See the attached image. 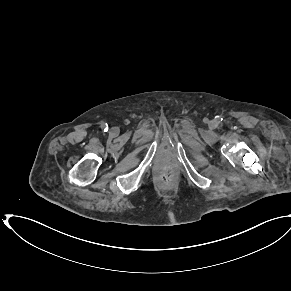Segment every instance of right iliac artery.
<instances>
[{"label": "right iliac artery", "mask_w": 291, "mask_h": 291, "mask_svg": "<svg viewBox=\"0 0 291 291\" xmlns=\"http://www.w3.org/2000/svg\"><path fill=\"white\" fill-rule=\"evenodd\" d=\"M102 129H104V131H107L108 130V126H107V123H103L101 125Z\"/></svg>", "instance_id": "1"}]
</instances>
